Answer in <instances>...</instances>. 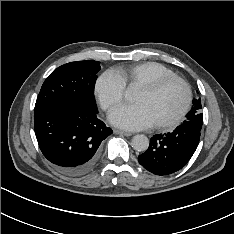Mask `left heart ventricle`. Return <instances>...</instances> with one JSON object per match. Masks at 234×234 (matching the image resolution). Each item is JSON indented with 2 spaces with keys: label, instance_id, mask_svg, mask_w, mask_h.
<instances>
[{
  "label": "left heart ventricle",
  "instance_id": "left-heart-ventricle-1",
  "mask_svg": "<svg viewBox=\"0 0 234 234\" xmlns=\"http://www.w3.org/2000/svg\"><path fill=\"white\" fill-rule=\"evenodd\" d=\"M185 92L179 83H170L153 94L137 90L133 102L144 107L153 124L171 119L184 104Z\"/></svg>",
  "mask_w": 234,
  "mask_h": 234
}]
</instances>
